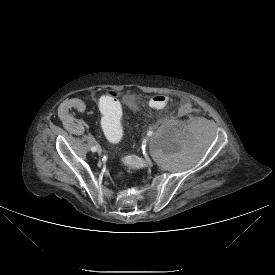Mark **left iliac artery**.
<instances>
[{"instance_id":"44dca946","label":"left iliac artery","mask_w":275,"mask_h":275,"mask_svg":"<svg viewBox=\"0 0 275 275\" xmlns=\"http://www.w3.org/2000/svg\"><path fill=\"white\" fill-rule=\"evenodd\" d=\"M152 134H153L152 131H149V132L147 133L148 136H151Z\"/></svg>"}]
</instances>
